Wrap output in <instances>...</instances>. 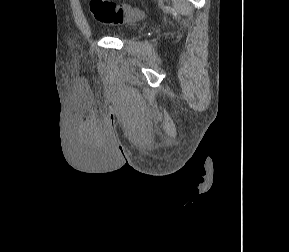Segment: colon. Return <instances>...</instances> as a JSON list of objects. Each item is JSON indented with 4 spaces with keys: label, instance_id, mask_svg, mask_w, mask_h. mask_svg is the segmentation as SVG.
Instances as JSON below:
<instances>
[{
    "label": "colon",
    "instance_id": "1",
    "mask_svg": "<svg viewBox=\"0 0 289 252\" xmlns=\"http://www.w3.org/2000/svg\"><path fill=\"white\" fill-rule=\"evenodd\" d=\"M89 9L98 22L107 25L124 24L140 16L130 6L116 4L110 0H90Z\"/></svg>",
    "mask_w": 289,
    "mask_h": 252
}]
</instances>
